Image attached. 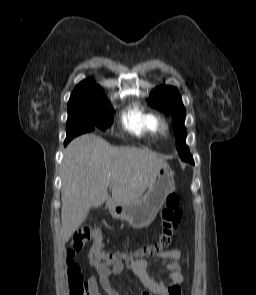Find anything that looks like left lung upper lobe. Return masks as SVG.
I'll list each match as a JSON object with an SVG mask.
<instances>
[{
	"label": "left lung upper lobe",
	"instance_id": "left-lung-upper-lobe-1",
	"mask_svg": "<svg viewBox=\"0 0 256 295\" xmlns=\"http://www.w3.org/2000/svg\"><path fill=\"white\" fill-rule=\"evenodd\" d=\"M149 105L172 115V125L176 132V148L182 160L187 161L189 149L185 144L186 129L184 127L185 108L178 90L172 86L157 87L148 99Z\"/></svg>",
	"mask_w": 256,
	"mask_h": 295
}]
</instances>
